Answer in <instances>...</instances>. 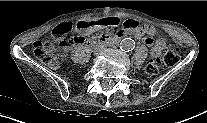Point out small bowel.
Here are the masks:
<instances>
[{
	"mask_svg": "<svg viewBox=\"0 0 207 123\" xmlns=\"http://www.w3.org/2000/svg\"><path fill=\"white\" fill-rule=\"evenodd\" d=\"M122 23L123 20L121 17L100 18L99 21L96 22H86L85 20H78L77 28L82 33H86L89 30H95L98 28L119 27L122 25ZM127 33L134 34L135 38L141 39L145 44L151 46V55L155 58L160 56L162 50L165 47V41L163 39L154 38L152 36L155 33V29L150 26H142L139 20H126L123 29L119 30L114 37H124ZM145 34L148 35L144 36ZM114 37L103 35L104 39Z\"/></svg>",
	"mask_w": 207,
	"mask_h": 123,
	"instance_id": "small-bowel-1",
	"label": "small bowel"
}]
</instances>
